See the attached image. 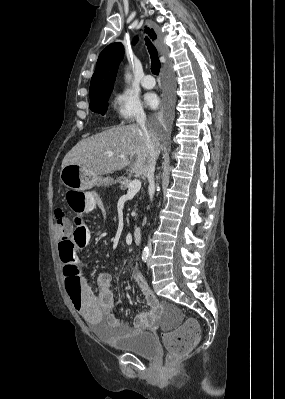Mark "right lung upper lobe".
<instances>
[{"label":"right lung upper lobe","mask_w":285,"mask_h":399,"mask_svg":"<svg viewBox=\"0 0 285 399\" xmlns=\"http://www.w3.org/2000/svg\"><path fill=\"white\" fill-rule=\"evenodd\" d=\"M145 31L152 39L156 38V34H151L149 28H146ZM123 53L124 47L120 42L108 45L100 53L96 70L91 78L89 90L90 98L113 90L118 66L123 58Z\"/></svg>","instance_id":"right-lung-upper-lobe-1"}]
</instances>
